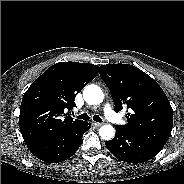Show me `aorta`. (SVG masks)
Listing matches in <instances>:
<instances>
[{"label":"aorta","mask_w":184,"mask_h":184,"mask_svg":"<svg viewBox=\"0 0 184 184\" xmlns=\"http://www.w3.org/2000/svg\"><path fill=\"white\" fill-rule=\"evenodd\" d=\"M83 97L86 103L90 105L100 104L104 100V94L101 88L93 84L85 87ZM99 135L104 140H111L115 135V129L112 125H103L99 129Z\"/></svg>","instance_id":"762f6f07"}]
</instances>
